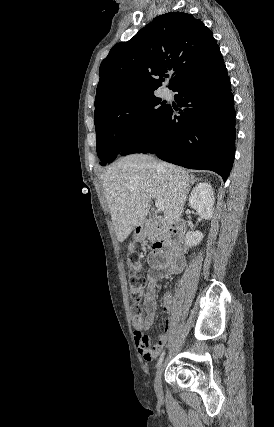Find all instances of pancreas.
Returning <instances> with one entry per match:
<instances>
[{
	"label": "pancreas",
	"mask_w": 274,
	"mask_h": 427,
	"mask_svg": "<svg viewBox=\"0 0 274 427\" xmlns=\"http://www.w3.org/2000/svg\"><path fill=\"white\" fill-rule=\"evenodd\" d=\"M149 231L147 233L149 239H153V237H158V235H160V231H157V227L155 225V223H153V225H149L148 227Z\"/></svg>",
	"instance_id": "obj_1"
}]
</instances>
